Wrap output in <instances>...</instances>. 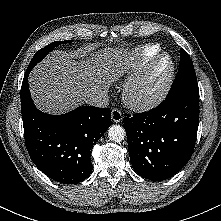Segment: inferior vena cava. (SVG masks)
Returning <instances> with one entry per match:
<instances>
[{
	"instance_id": "1",
	"label": "inferior vena cava",
	"mask_w": 221,
	"mask_h": 221,
	"mask_svg": "<svg viewBox=\"0 0 221 221\" xmlns=\"http://www.w3.org/2000/svg\"><path fill=\"white\" fill-rule=\"evenodd\" d=\"M85 103L96 106V107H106L109 104L108 94L103 91L97 94H91L85 99Z\"/></svg>"
}]
</instances>
